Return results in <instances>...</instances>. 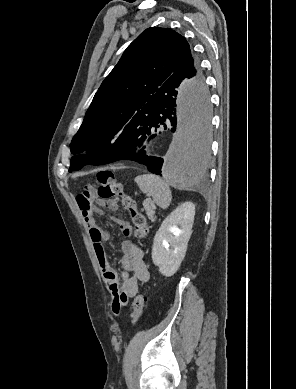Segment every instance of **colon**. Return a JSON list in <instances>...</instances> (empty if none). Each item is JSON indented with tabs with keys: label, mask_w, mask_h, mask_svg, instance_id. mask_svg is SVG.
<instances>
[{
	"label": "colon",
	"mask_w": 296,
	"mask_h": 389,
	"mask_svg": "<svg viewBox=\"0 0 296 389\" xmlns=\"http://www.w3.org/2000/svg\"><path fill=\"white\" fill-rule=\"evenodd\" d=\"M93 190L91 186L85 187L84 192ZM97 195L98 197L112 206H117L120 201L122 207L129 212L134 235L138 239L146 237L148 225L145 216L137 209L135 200L124 193L122 184L117 180L115 174L110 170H102L97 174ZM147 298L143 293L138 294L132 304V323L136 325L143 310L146 307ZM118 313V312H117Z\"/></svg>",
	"instance_id": "colon-1"
}]
</instances>
